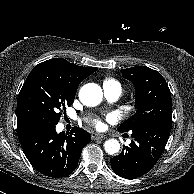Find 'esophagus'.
I'll return each instance as SVG.
<instances>
[{"label":"esophagus","mask_w":194,"mask_h":194,"mask_svg":"<svg viewBox=\"0 0 194 194\" xmlns=\"http://www.w3.org/2000/svg\"><path fill=\"white\" fill-rule=\"evenodd\" d=\"M91 138L93 140H96V139H103L104 138V135L103 134H100V133H92L91 134Z\"/></svg>","instance_id":"1"}]
</instances>
